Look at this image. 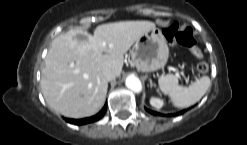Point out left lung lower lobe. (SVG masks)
I'll use <instances>...</instances> for the list:
<instances>
[{"mask_svg":"<svg viewBox=\"0 0 247 145\" xmlns=\"http://www.w3.org/2000/svg\"><path fill=\"white\" fill-rule=\"evenodd\" d=\"M146 110L149 111V112L152 113V114H157V113L152 112V111H150V110H148V109H146ZM183 112H184V111L180 112V114L183 113Z\"/></svg>","mask_w":247,"mask_h":145,"instance_id":"1","label":"left lung lower lobe"}]
</instances>
